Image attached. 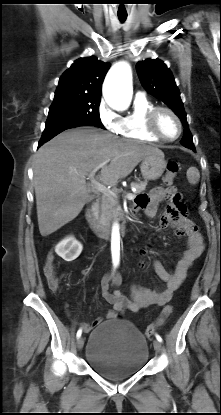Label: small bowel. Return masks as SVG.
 <instances>
[{"mask_svg":"<svg viewBox=\"0 0 221 415\" xmlns=\"http://www.w3.org/2000/svg\"><path fill=\"white\" fill-rule=\"evenodd\" d=\"M163 201H166L168 204L163 216L153 228V232L171 225L177 235L187 236L186 249L171 273L159 261L155 260L153 262L155 272L165 283L164 290L147 289L134 285L131 287L129 295H126L119 289L122 283L121 275L116 272L107 274L102 281V297L112 305V308L105 315L107 320L115 319L124 310L136 312L150 305L162 306L168 303L173 293L185 280L187 272L194 261L204 250L203 237L197 232V227L187 220L188 211L186 204L185 201H182V197L176 187H157L148 194L138 195L133 209H142L147 217L152 218L157 213L158 205ZM148 252V248L141 250L142 255ZM139 265L143 267L145 265L144 261L141 260ZM110 285L114 287L113 291L110 290ZM101 321V318H97L91 325H84V328L86 331H89L92 327L98 326Z\"/></svg>","mask_w":221,"mask_h":415,"instance_id":"small-bowel-1","label":"small bowel"}]
</instances>
